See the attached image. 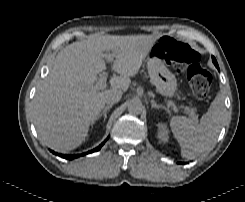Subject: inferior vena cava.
I'll list each match as a JSON object with an SVG mask.
<instances>
[{
	"label": "inferior vena cava",
	"mask_w": 245,
	"mask_h": 202,
	"mask_svg": "<svg viewBox=\"0 0 245 202\" xmlns=\"http://www.w3.org/2000/svg\"><path fill=\"white\" fill-rule=\"evenodd\" d=\"M122 95L123 92L121 90H111L106 95L105 102L109 105H113L121 99Z\"/></svg>",
	"instance_id": "obj_1"
}]
</instances>
